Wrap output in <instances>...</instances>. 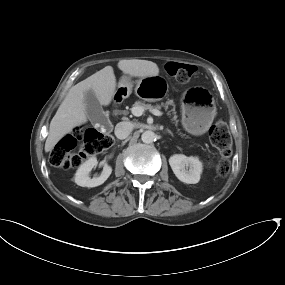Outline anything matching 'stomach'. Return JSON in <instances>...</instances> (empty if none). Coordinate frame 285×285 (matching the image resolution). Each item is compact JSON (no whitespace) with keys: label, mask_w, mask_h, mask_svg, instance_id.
<instances>
[{"label":"stomach","mask_w":285,"mask_h":285,"mask_svg":"<svg viewBox=\"0 0 285 285\" xmlns=\"http://www.w3.org/2000/svg\"><path fill=\"white\" fill-rule=\"evenodd\" d=\"M164 79L161 76L145 77L137 82L136 93L139 97L147 101H154L145 90L144 86L148 84H161ZM119 87L126 88L131 92L133 83L128 76H122ZM182 107V125L184 129L192 135H202L210 127L216 113L214 99L211 94L202 88H193L187 90L181 99Z\"/></svg>","instance_id":"0dacf381"}]
</instances>
